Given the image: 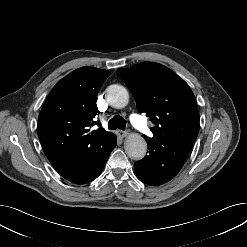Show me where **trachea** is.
Masks as SVG:
<instances>
[{
	"label": "trachea",
	"mask_w": 247,
	"mask_h": 247,
	"mask_svg": "<svg viewBox=\"0 0 247 247\" xmlns=\"http://www.w3.org/2000/svg\"><path fill=\"white\" fill-rule=\"evenodd\" d=\"M125 127H126V121L124 120V118H122L119 115H115L108 122V128L110 130H116L117 128L121 130H125Z\"/></svg>",
	"instance_id": "1"
}]
</instances>
